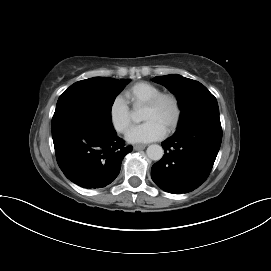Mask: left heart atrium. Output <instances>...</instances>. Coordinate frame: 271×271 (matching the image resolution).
<instances>
[{
  "instance_id": "obj_1",
  "label": "left heart atrium",
  "mask_w": 271,
  "mask_h": 271,
  "mask_svg": "<svg viewBox=\"0 0 271 271\" xmlns=\"http://www.w3.org/2000/svg\"><path fill=\"white\" fill-rule=\"evenodd\" d=\"M166 134V130L156 121L148 120L132 127L126 134L130 143H147L159 140Z\"/></svg>"
}]
</instances>
